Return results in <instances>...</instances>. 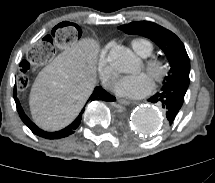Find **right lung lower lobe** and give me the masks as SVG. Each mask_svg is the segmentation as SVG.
I'll use <instances>...</instances> for the list:
<instances>
[{
	"instance_id": "right-lung-lower-lobe-1",
	"label": "right lung lower lobe",
	"mask_w": 215,
	"mask_h": 183,
	"mask_svg": "<svg viewBox=\"0 0 215 183\" xmlns=\"http://www.w3.org/2000/svg\"><path fill=\"white\" fill-rule=\"evenodd\" d=\"M17 93H16V87L14 88V92H13V96L16 102V106H17V110L19 113L20 118L22 119V121L30 128V130L43 138L46 139H60V138H64L67 137L71 134H73L75 132V130L78 128V126L80 125L81 122V118H82V114L84 112V109L80 112L79 116L72 122V124H70L69 126H67L66 128L60 130V131H56V132H47V131H43L42 129H40L39 127H37L24 113L20 102L18 100V98L16 97ZM95 100H103V101H114L115 97L112 96L111 94H109L108 92H106L102 87L98 86L94 89L93 93L91 94V96L88 99V102L90 101H95Z\"/></svg>"
}]
</instances>
